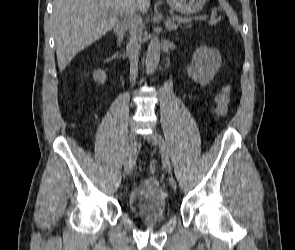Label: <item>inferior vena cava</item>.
I'll return each instance as SVG.
<instances>
[{"mask_svg":"<svg viewBox=\"0 0 295 250\" xmlns=\"http://www.w3.org/2000/svg\"><path fill=\"white\" fill-rule=\"evenodd\" d=\"M126 14L127 27L130 32V39L127 46V52L130 61V78L133 82H135L138 74V60L143 34V24L141 15L138 14L133 0H130Z\"/></svg>","mask_w":295,"mask_h":250,"instance_id":"602c4592","label":"inferior vena cava"}]
</instances>
